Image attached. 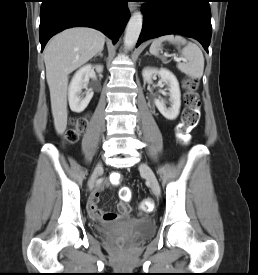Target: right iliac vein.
<instances>
[{
    "instance_id": "63e3f726",
    "label": "right iliac vein",
    "mask_w": 258,
    "mask_h": 275,
    "mask_svg": "<svg viewBox=\"0 0 258 275\" xmlns=\"http://www.w3.org/2000/svg\"><path fill=\"white\" fill-rule=\"evenodd\" d=\"M102 170H103L102 163L99 162V163L96 165V167H95V169H94V172H93V174H92V176H91V178H90V181H89V189H90V190H92V189L94 188L95 183H96V180H97L99 174L102 172Z\"/></svg>"
}]
</instances>
